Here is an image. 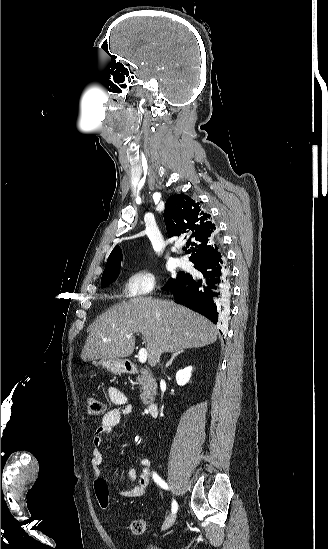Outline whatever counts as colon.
Masks as SVG:
<instances>
[{
  "mask_svg": "<svg viewBox=\"0 0 328 549\" xmlns=\"http://www.w3.org/2000/svg\"><path fill=\"white\" fill-rule=\"evenodd\" d=\"M87 410L89 415L99 416L105 411V404L101 399L91 396L87 399ZM94 488L99 507L106 510L110 504L109 488L106 481L102 478H98L94 482ZM146 526L147 522L144 519H137L131 523V530L135 534H142L145 532Z\"/></svg>",
  "mask_w": 328,
  "mask_h": 549,
  "instance_id": "obj_1",
  "label": "colon"
}]
</instances>
